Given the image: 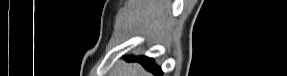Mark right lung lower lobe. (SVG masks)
Segmentation results:
<instances>
[{"mask_svg":"<svg viewBox=\"0 0 287 76\" xmlns=\"http://www.w3.org/2000/svg\"><path fill=\"white\" fill-rule=\"evenodd\" d=\"M128 60L131 61H138L140 62L146 69L152 71L154 74L156 75H162V72L160 70L159 67L154 65V61L151 58H147V57H128Z\"/></svg>","mask_w":287,"mask_h":76,"instance_id":"right-lung-lower-lobe-1","label":"right lung lower lobe"}]
</instances>
